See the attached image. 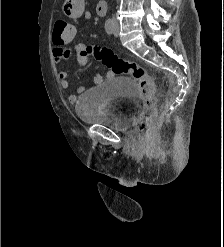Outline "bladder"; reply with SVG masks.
<instances>
[{"label": "bladder", "instance_id": "1", "mask_svg": "<svg viewBox=\"0 0 224 247\" xmlns=\"http://www.w3.org/2000/svg\"><path fill=\"white\" fill-rule=\"evenodd\" d=\"M138 106L134 81L117 76L86 89L75 104V113L85 124L125 132L131 128Z\"/></svg>", "mask_w": 224, "mask_h": 247}]
</instances>
